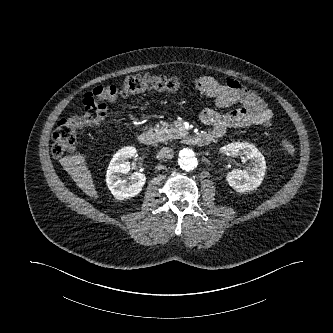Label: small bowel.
I'll return each instance as SVG.
<instances>
[{"label": "small bowel", "mask_w": 333, "mask_h": 333, "mask_svg": "<svg viewBox=\"0 0 333 333\" xmlns=\"http://www.w3.org/2000/svg\"><path fill=\"white\" fill-rule=\"evenodd\" d=\"M193 87L198 93L213 97L218 107L241 104V107L226 113L211 108L201 112V122L212 128L209 134L215 138L220 137L228 127L269 126L271 123L273 114L266 102L236 79L221 83L211 76H201L193 80Z\"/></svg>", "instance_id": "1"}]
</instances>
